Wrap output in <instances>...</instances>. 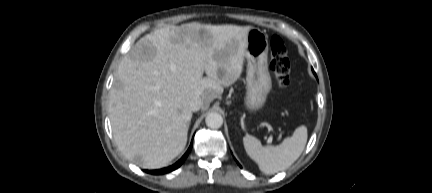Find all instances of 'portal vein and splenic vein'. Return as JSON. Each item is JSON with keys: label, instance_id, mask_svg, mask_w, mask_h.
<instances>
[{"label": "portal vein and splenic vein", "instance_id": "18ae733b", "mask_svg": "<svg viewBox=\"0 0 432 193\" xmlns=\"http://www.w3.org/2000/svg\"><path fill=\"white\" fill-rule=\"evenodd\" d=\"M268 142H269V143L272 142V138H269V139H268Z\"/></svg>", "mask_w": 432, "mask_h": 193}]
</instances>
